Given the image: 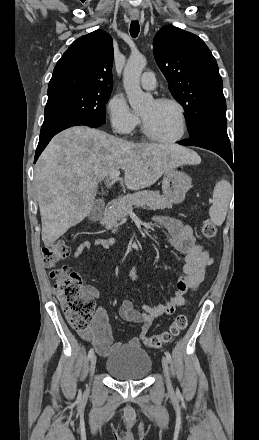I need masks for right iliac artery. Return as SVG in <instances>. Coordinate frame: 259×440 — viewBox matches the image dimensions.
<instances>
[{
    "instance_id": "right-iliac-artery-1",
    "label": "right iliac artery",
    "mask_w": 259,
    "mask_h": 440,
    "mask_svg": "<svg viewBox=\"0 0 259 440\" xmlns=\"http://www.w3.org/2000/svg\"><path fill=\"white\" fill-rule=\"evenodd\" d=\"M93 353H94L93 349H90L88 352V359L92 357Z\"/></svg>"
}]
</instances>
